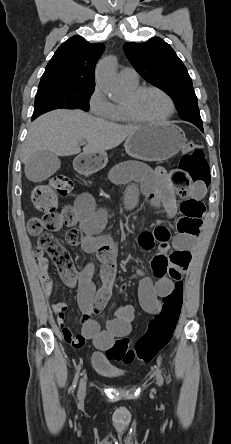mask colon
<instances>
[{"label":"colon","mask_w":231,"mask_h":444,"mask_svg":"<svg viewBox=\"0 0 231 444\" xmlns=\"http://www.w3.org/2000/svg\"><path fill=\"white\" fill-rule=\"evenodd\" d=\"M173 179L187 184L210 182L209 166L200 145L188 142L181 156L179 166L173 172ZM72 189V182L66 177H57L35 186L31 191V202L42 215L32 217L27 223L31 235L38 236V250L47 254L58 268L62 277L73 283L74 268L68 251L49 232L68 226L72 221L69 209L58 211L59 197ZM182 217L177 222L179 233L196 236L201 226L204 206L194 200L181 204ZM158 235L167 236L164 227L156 230ZM183 283L176 281L173 291L163 298V309L149 323L147 331L134 343L127 337L118 338L107 349L106 356L112 361L131 364L134 361L150 362L165 348L175 332L182 307Z\"/></svg>","instance_id":"1"}]
</instances>
